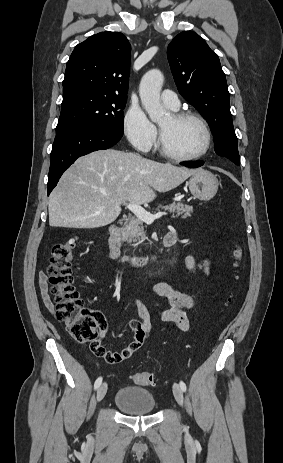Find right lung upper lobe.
Masks as SVG:
<instances>
[{
    "instance_id": "right-lung-upper-lobe-1",
    "label": "right lung upper lobe",
    "mask_w": 283,
    "mask_h": 463,
    "mask_svg": "<svg viewBox=\"0 0 283 463\" xmlns=\"http://www.w3.org/2000/svg\"><path fill=\"white\" fill-rule=\"evenodd\" d=\"M130 52L119 32H101L78 44L66 65L63 102L83 93L127 98Z\"/></svg>"
}]
</instances>
